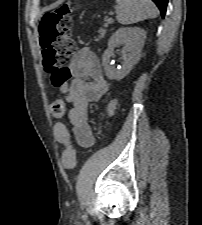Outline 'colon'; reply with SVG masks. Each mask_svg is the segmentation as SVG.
I'll use <instances>...</instances> for the list:
<instances>
[{
  "instance_id": "colon-1",
  "label": "colon",
  "mask_w": 202,
  "mask_h": 225,
  "mask_svg": "<svg viewBox=\"0 0 202 225\" xmlns=\"http://www.w3.org/2000/svg\"><path fill=\"white\" fill-rule=\"evenodd\" d=\"M72 5L64 4L57 10L46 13L39 24L40 45L43 53V69L50 82L61 86L69 77L67 63L73 54L75 44L71 37L73 26ZM116 102L111 100L108 104V115L114 113ZM51 112L56 117L64 115L65 107L62 100H55L51 105ZM67 143L62 152V166L72 169L76 162V152L70 139L65 136Z\"/></svg>"
}]
</instances>
